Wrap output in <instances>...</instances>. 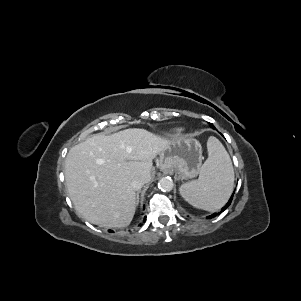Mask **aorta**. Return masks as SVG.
<instances>
[{
  "label": "aorta",
  "mask_w": 301,
  "mask_h": 301,
  "mask_svg": "<svg viewBox=\"0 0 301 301\" xmlns=\"http://www.w3.org/2000/svg\"><path fill=\"white\" fill-rule=\"evenodd\" d=\"M158 187L160 190L164 192H169L173 189L174 183L171 177H162L158 182Z\"/></svg>",
  "instance_id": "obj_1"
}]
</instances>
